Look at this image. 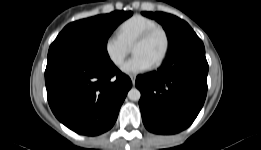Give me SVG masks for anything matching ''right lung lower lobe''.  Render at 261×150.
<instances>
[{"label": "right lung lower lobe", "instance_id": "1", "mask_svg": "<svg viewBox=\"0 0 261 150\" xmlns=\"http://www.w3.org/2000/svg\"><path fill=\"white\" fill-rule=\"evenodd\" d=\"M45 83L56 118L76 133L88 136L104 133L114 125L132 87L130 78L111 60L48 61Z\"/></svg>", "mask_w": 261, "mask_h": 150}]
</instances>
